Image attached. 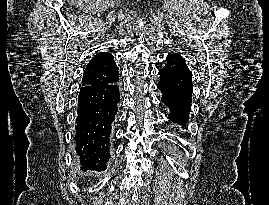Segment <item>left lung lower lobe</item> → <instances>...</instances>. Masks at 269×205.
<instances>
[{
  "label": "left lung lower lobe",
  "instance_id": "1",
  "mask_svg": "<svg viewBox=\"0 0 269 205\" xmlns=\"http://www.w3.org/2000/svg\"><path fill=\"white\" fill-rule=\"evenodd\" d=\"M159 75L157 87L163 94L161 101L170 109L169 119L184 126L191 109L192 72L181 55L170 54Z\"/></svg>",
  "mask_w": 269,
  "mask_h": 205
}]
</instances>
